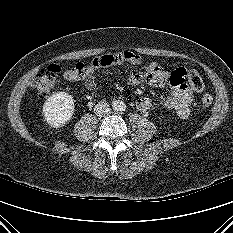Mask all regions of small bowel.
I'll list each match as a JSON object with an SVG mask.
<instances>
[{"label":"small bowel","instance_id":"c3829d8e","mask_svg":"<svg viewBox=\"0 0 233 233\" xmlns=\"http://www.w3.org/2000/svg\"><path fill=\"white\" fill-rule=\"evenodd\" d=\"M108 58L107 64L101 66H122L130 64L138 66L142 63V58L132 51H123L115 54H105ZM186 73L184 68L166 70L157 62H150L142 71L129 74L128 83L131 85L149 84L155 87H169V95L165 105L174 110L179 116L186 117L189 114L193 98V89L186 83ZM85 86L92 90L95 87L94 80L90 77L86 79ZM138 110L145 112L152 107V102L147 97H141L136 101Z\"/></svg>","mask_w":233,"mask_h":233}]
</instances>
